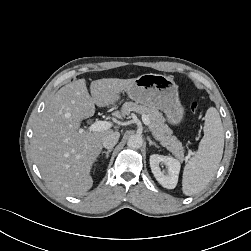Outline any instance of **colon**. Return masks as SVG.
<instances>
[{
  "instance_id": "colon-1",
  "label": "colon",
  "mask_w": 251,
  "mask_h": 251,
  "mask_svg": "<svg viewBox=\"0 0 251 251\" xmlns=\"http://www.w3.org/2000/svg\"><path fill=\"white\" fill-rule=\"evenodd\" d=\"M197 108H198V104H197L196 102L192 103V105H191V110H192L193 112H195V111L197 110Z\"/></svg>"
}]
</instances>
